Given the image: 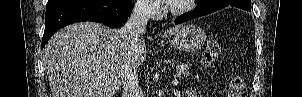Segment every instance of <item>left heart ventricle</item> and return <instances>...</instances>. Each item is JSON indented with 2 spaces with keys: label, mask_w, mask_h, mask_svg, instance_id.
<instances>
[{
  "label": "left heart ventricle",
  "mask_w": 302,
  "mask_h": 97,
  "mask_svg": "<svg viewBox=\"0 0 302 97\" xmlns=\"http://www.w3.org/2000/svg\"><path fill=\"white\" fill-rule=\"evenodd\" d=\"M181 3H183V0H178L175 3H173V4H181Z\"/></svg>",
  "instance_id": "obj_1"
}]
</instances>
